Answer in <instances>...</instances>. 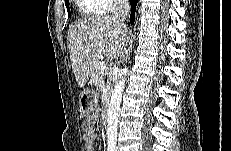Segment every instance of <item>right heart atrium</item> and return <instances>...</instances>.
I'll use <instances>...</instances> for the list:
<instances>
[{"label":"right heart atrium","instance_id":"1","mask_svg":"<svg viewBox=\"0 0 231 151\" xmlns=\"http://www.w3.org/2000/svg\"><path fill=\"white\" fill-rule=\"evenodd\" d=\"M101 2L105 12L116 11L122 4L120 0H102Z\"/></svg>","mask_w":231,"mask_h":151}]
</instances>
